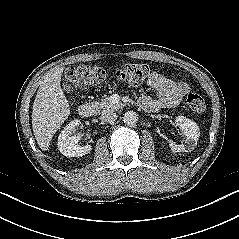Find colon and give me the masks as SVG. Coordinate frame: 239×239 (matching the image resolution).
Wrapping results in <instances>:
<instances>
[{
  "label": "colon",
  "mask_w": 239,
  "mask_h": 239,
  "mask_svg": "<svg viewBox=\"0 0 239 239\" xmlns=\"http://www.w3.org/2000/svg\"><path fill=\"white\" fill-rule=\"evenodd\" d=\"M148 66L143 63H127L117 68L115 77L120 82L138 86L148 76ZM66 82L75 88H84L90 85L100 84L108 79V73L100 67L90 65H78L67 69L64 76ZM187 104L196 114H202L206 109V103L202 95L190 93L187 96Z\"/></svg>",
  "instance_id": "obj_1"
}]
</instances>
